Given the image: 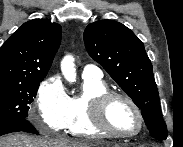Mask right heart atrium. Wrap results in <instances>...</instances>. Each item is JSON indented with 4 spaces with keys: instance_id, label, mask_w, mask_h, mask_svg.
I'll use <instances>...</instances> for the list:
<instances>
[{
    "instance_id": "right-heart-atrium-1",
    "label": "right heart atrium",
    "mask_w": 183,
    "mask_h": 147,
    "mask_svg": "<svg viewBox=\"0 0 183 147\" xmlns=\"http://www.w3.org/2000/svg\"><path fill=\"white\" fill-rule=\"evenodd\" d=\"M36 109L38 126L53 131L64 129L68 113V95L57 76L44 79L37 90Z\"/></svg>"
}]
</instances>
